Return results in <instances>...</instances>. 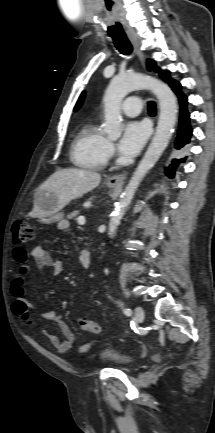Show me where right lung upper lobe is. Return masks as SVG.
<instances>
[{
	"mask_svg": "<svg viewBox=\"0 0 215 433\" xmlns=\"http://www.w3.org/2000/svg\"><path fill=\"white\" fill-rule=\"evenodd\" d=\"M84 92L81 94V96H80V98L78 99V101H77V104H76V106H75V108H74V110L76 111V110H78L79 108H80V106L82 105V103H83V99H84Z\"/></svg>",
	"mask_w": 215,
	"mask_h": 433,
	"instance_id": "obj_1",
	"label": "right lung upper lobe"
}]
</instances>
